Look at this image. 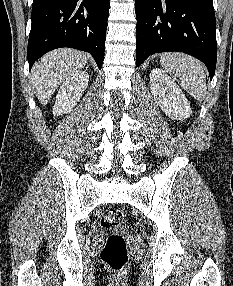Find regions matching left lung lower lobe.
Wrapping results in <instances>:
<instances>
[{
    "instance_id": "0a47b994",
    "label": "left lung lower lobe",
    "mask_w": 233,
    "mask_h": 286,
    "mask_svg": "<svg viewBox=\"0 0 233 286\" xmlns=\"http://www.w3.org/2000/svg\"><path fill=\"white\" fill-rule=\"evenodd\" d=\"M136 66L150 55L179 51L202 61L210 78L217 60L212 0H135Z\"/></svg>"
}]
</instances>
